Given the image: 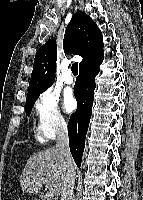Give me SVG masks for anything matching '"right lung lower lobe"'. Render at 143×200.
Here are the masks:
<instances>
[{
  "label": "right lung lower lobe",
  "instance_id": "obj_1",
  "mask_svg": "<svg viewBox=\"0 0 143 200\" xmlns=\"http://www.w3.org/2000/svg\"><path fill=\"white\" fill-rule=\"evenodd\" d=\"M103 50L90 58L79 67L74 93L78 108L70 117L68 135L70 151L78 167L81 166L85 137L92 114L94 78L99 73V66L103 61Z\"/></svg>",
  "mask_w": 143,
  "mask_h": 200
}]
</instances>
